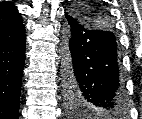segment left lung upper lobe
<instances>
[{
	"mask_svg": "<svg viewBox=\"0 0 142 119\" xmlns=\"http://www.w3.org/2000/svg\"><path fill=\"white\" fill-rule=\"evenodd\" d=\"M86 6L83 9H78L76 13L70 16L90 28L104 27L108 24V20L103 14L97 11L91 12L88 5Z\"/></svg>",
	"mask_w": 142,
	"mask_h": 119,
	"instance_id": "1",
	"label": "left lung upper lobe"
}]
</instances>
